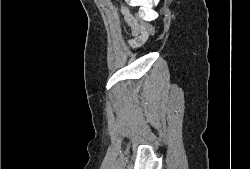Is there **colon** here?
I'll return each mask as SVG.
<instances>
[{
	"label": "colon",
	"mask_w": 250,
	"mask_h": 169,
	"mask_svg": "<svg viewBox=\"0 0 250 169\" xmlns=\"http://www.w3.org/2000/svg\"><path fill=\"white\" fill-rule=\"evenodd\" d=\"M139 19L141 20V16H138ZM141 25L145 26L144 28L141 29V35L139 37V41H144L148 35H151L154 33V26L152 25V23H150V21L148 20H141Z\"/></svg>",
	"instance_id": "obj_1"
}]
</instances>
